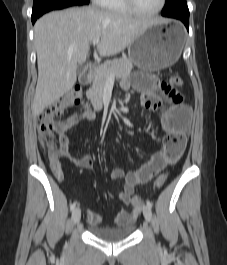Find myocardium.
Returning <instances> with one entry per match:
<instances>
[{"instance_id":"1","label":"myocardium","mask_w":227,"mask_h":265,"mask_svg":"<svg viewBox=\"0 0 227 265\" xmlns=\"http://www.w3.org/2000/svg\"><path fill=\"white\" fill-rule=\"evenodd\" d=\"M125 3L129 7V9L135 14H138L141 16H153V15H156L163 10V8L165 7V4H166V0H161L158 8H156L155 10L150 11V12H145V11L140 10L136 5L135 0H125Z\"/></svg>"}]
</instances>
